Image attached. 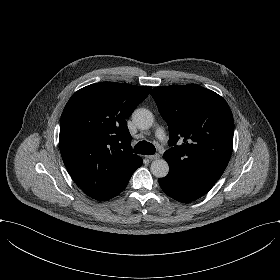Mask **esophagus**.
I'll list each match as a JSON object with an SVG mask.
<instances>
[{
  "label": "esophagus",
  "mask_w": 280,
  "mask_h": 280,
  "mask_svg": "<svg viewBox=\"0 0 280 280\" xmlns=\"http://www.w3.org/2000/svg\"><path fill=\"white\" fill-rule=\"evenodd\" d=\"M146 158H148L149 160H156V159H159V158H160V154H159V153H156V154H154V155L146 156Z\"/></svg>",
  "instance_id": "34e87169"
}]
</instances>
